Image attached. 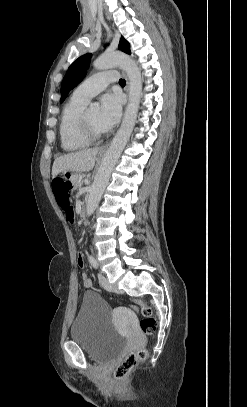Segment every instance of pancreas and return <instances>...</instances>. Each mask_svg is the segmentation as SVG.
<instances>
[{
    "label": "pancreas",
    "mask_w": 247,
    "mask_h": 407,
    "mask_svg": "<svg viewBox=\"0 0 247 407\" xmlns=\"http://www.w3.org/2000/svg\"><path fill=\"white\" fill-rule=\"evenodd\" d=\"M83 177H84L83 174H77V175L73 178L72 183H73V186H74L75 188H77V187L79 186V184H80V182H81V179H82Z\"/></svg>",
    "instance_id": "obj_1"
}]
</instances>
